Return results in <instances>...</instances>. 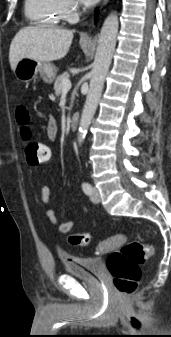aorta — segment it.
I'll use <instances>...</instances> for the list:
<instances>
[{
  "instance_id": "762f6f07",
  "label": "aorta",
  "mask_w": 171,
  "mask_h": 337,
  "mask_svg": "<svg viewBox=\"0 0 171 337\" xmlns=\"http://www.w3.org/2000/svg\"><path fill=\"white\" fill-rule=\"evenodd\" d=\"M118 28V16L115 13H112L105 19L99 35L95 60L90 73L89 90L79 124V145L83 143L97 109L105 77L111 64L115 49Z\"/></svg>"
}]
</instances>
